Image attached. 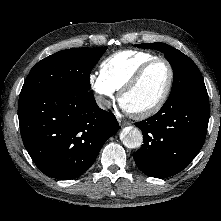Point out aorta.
I'll return each mask as SVG.
<instances>
[{
	"instance_id": "obj_1",
	"label": "aorta",
	"mask_w": 221,
	"mask_h": 221,
	"mask_svg": "<svg viewBox=\"0 0 221 221\" xmlns=\"http://www.w3.org/2000/svg\"><path fill=\"white\" fill-rule=\"evenodd\" d=\"M122 142L129 149L139 148L143 144L142 132L137 127H127L122 133Z\"/></svg>"
}]
</instances>
